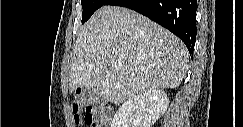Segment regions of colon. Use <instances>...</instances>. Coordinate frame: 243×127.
Listing matches in <instances>:
<instances>
[{
	"instance_id": "colon-1",
	"label": "colon",
	"mask_w": 243,
	"mask_h": 127,
	"mask_svg": "<svg viewBox=\"0 0 243 127\" xmlns=\"http://www.w3.org/2000/svg\"><path fill=\"white\" fill-rule=\"evenodd\" d=\"M71 110L76 125L85 123L91 127H105L109 120V111L103 106L88 103L81 94L71 98Z\"/></svg>"
}]
</instances>
